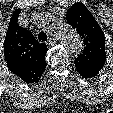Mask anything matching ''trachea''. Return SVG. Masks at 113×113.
<instances>
[{
    "instance_id": "obj_1",
    "label": "trachea",
    "mask_w": 113,
    "mask_h": 113,
    "mask_svg": "<svg viewBox=\"0 0 113 113\" xmlns=\"http://www.w3.org/2000/svg\"><path fill=\"white\" fill-rule=\"evenodd\" d=\"M38 40H39V41H47V34L44 33V32H40V33L38 34Z\"/></svg>"
}]
</instances>
